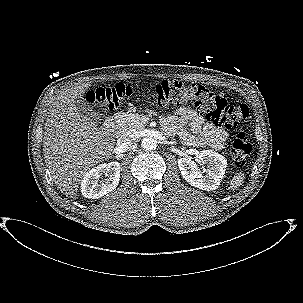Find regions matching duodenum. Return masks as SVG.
I'll use <instances>...</instances> for the list:
<instances>
[{
	"mask_svg": "<svg viewBox=\"0 0 303 303\" xmlns=\"http://www.w3.org/2000/svg\"><path fill=\"white\" fill-rule=\"evenodd\" d=\"M115 127V119L110 118L107 122V128H113Z\"/></svg>",
	"mask_w": 303,
	"mask_h": 303,
	"instance_id": "410a0bca",
	"label": "duodenum"
}]
</instances>
